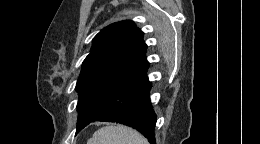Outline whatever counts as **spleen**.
Returning <instances> with one entry per match:
<instances>
[{"instance_id":"obj_1","label":"spleen","mask_w":260,"mask_h":144,"mask_svg":"<svg viewBox=\"0 0 260 144\" xmlns=\"http://www.w3.org/2000/svg\"><path fill=\"white\" fill-rule=\"evenodd\" d=\"M87 144H148V141L129 127L110 125L95 131Z\"/></svg>"}]
</instances>
